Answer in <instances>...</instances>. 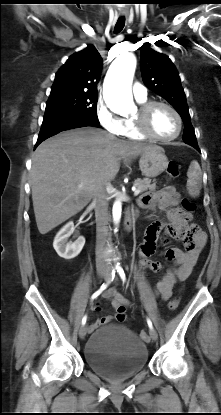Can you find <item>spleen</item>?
Instances as JSON below:
<instances>
[{"label":"spleen","instance_id":"3e777b00","mask_svg":"<svg viewBox=\"0 0 221 415\" xmlns=\"http://www.w3.org/2000/svg\"><path fill=\"white\" fill-rule=\"evenodd\" d=\"M187 176V190L189 194L193 197H198L202 188V172L197 161L191 162Z\"/></svg>","mask_w":221,"mask_h":415}]
</instances>
